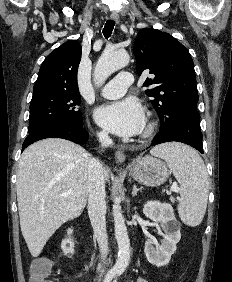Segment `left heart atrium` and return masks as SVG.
<instances>
[{
	"label": "left heart atrium",
	"mask_w": 232,
	"mask_h": 282,
	"mask_svg": "<svg viewBox=\"0 0 232 282\" xmlns=\"http://www.w3.org/2000/svg\"><path fill=\"white\" fill-rule=\"evenodd\" d=\"M95 118L100 126L121 137L137 135L145 125L144 110L132 98L100 106Z\"/></svg>",
	"instance_id": "left-heart-atrium-1"
}]
</instances>
